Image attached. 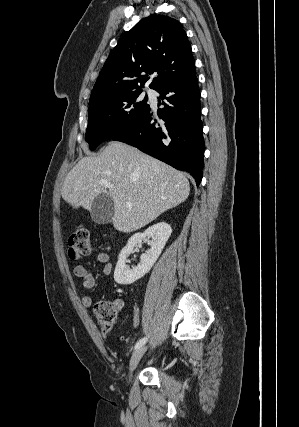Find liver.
Listing matches in <instances>:
<instances>
[{"label": "liver", "instance_id": "1", "mask_svg": "<svg viewBox=\"0 0 299 427\" xmlns=\"http://www.w3.org/2000/svg\"><path fill=\"white\" fill-rule=\"evenodd\" d=\"M108 181L112 187L99 184ZM190 193L186 176L122 142H111L97 157L82 158L65 177L61 195L73 208L91 210L100 194L113 199L112 223L121 232L136 231ZM126 202L132 204L126 207Z\"/></svg>", "mask_w": 299, "mask_h": 427}]
</instances>
